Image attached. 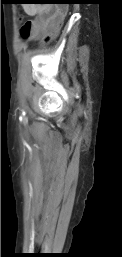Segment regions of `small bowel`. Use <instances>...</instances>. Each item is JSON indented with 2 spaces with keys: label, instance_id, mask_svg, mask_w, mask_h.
<instances>
[{
  "label": "small bowel",
  "instance_id": "small-bowel-1",
  "mask_svg": "<svg viewBox=\"0 0 122 257\" xmlns=\"http://www.w3.org/2000/svg\"><path fill=\"white\" fill-rule=\"evenodd\" d=\"M25 12L34 18L26 23L28 26L27 37L30 39H40L46 37L48 30H52L55 21H58V8H52L48 5H33L24 6Z\"/></svg>",
  "mask_w": 122,
  "mask_h": 257
}]
</instances>
